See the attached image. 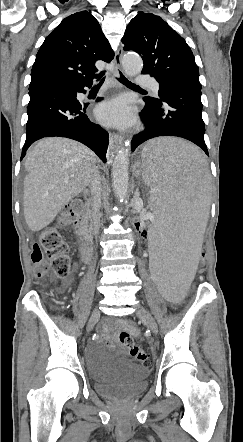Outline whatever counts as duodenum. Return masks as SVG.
Segmentation results:
<instances>
[{
	"label": "duodenum",
	"mask_w": 243,
	"mask_h": 442,
	"mask_svg": "<svg viewBox=\"0 0 243 442\" xmlns=\"http://www.w3.org/2000/svg\"><path fill=\"white\" fill-rule=\"evenodd\" d=\"M77 205V219L74 222V228L81 242L80 257L84 263H90L92 260V250L86 240L88 219L87 207L82 203H78Z\"/></svg>",
	"instance_id": "1"
}]
</instances>
